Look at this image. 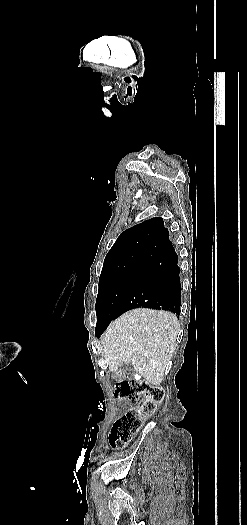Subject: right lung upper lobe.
Instances as JSON below:
<instances>
[{
	"label": "right lung upper lobe",
	"instance_id": "right-lung-upper-lobe-1",
	"mask_svg": "<svg viewBox=\"0 0 247 525\" xmlns=\"http://www.w3.org/2000/svg\"><path fill=\"white\" fill-rule=\"evenodd\" d=\"M172 242L163 219L151 218L125 230L107 253L102 272L130 268L162 252Z\"/></svg>",
	"mask_w": 247,
	"mask_h": 525
}]
</instances>
